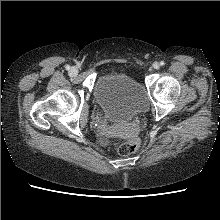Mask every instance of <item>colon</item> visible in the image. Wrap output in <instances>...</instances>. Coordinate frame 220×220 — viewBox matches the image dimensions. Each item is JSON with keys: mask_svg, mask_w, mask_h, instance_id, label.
<instances>
[{"mask_svg": "<svg viewBox=\"0 0 220 220\" xmlns=\"http://www.w3.org/2000/svg\"><path fill=\"white\" fill-rule=\"evenodd\" d=\"M138 148V141L136 138H127L118 149L119 154L123 156H129L136 152Z\"/></svg>", "mask_w": 220, "mask_h": 220, "instance_id": "colon-1", "label": "colon"}]
</instances>
